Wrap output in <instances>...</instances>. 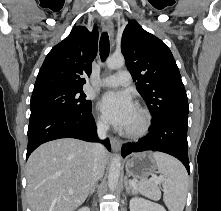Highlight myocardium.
<instances>
[{
  "mask_svg": "<svg viewBox=\"0 0 221 211\" xmlns=\"http://www.w3.org/2000/svg\"><path fill=\"white\" fill-rule=\"evenodd\" d=\"M137 112L141 117V122L139 126L132 130H124V135L128 138L138 139L143 137L149 130L151 125V115L150 113L143 107L138 106L136 108Z\"/></svg>",
  "mask_w": 221,
  "mask_h": 211,
  "instance_id": "myocardium-1",
  "label": "myocardium"
}]
</instances>
